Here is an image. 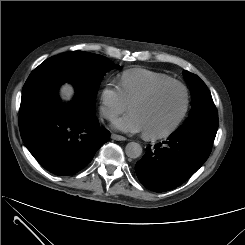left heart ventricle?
<instances>
[{"label":"left heart ventricle","mask_w":245,"mask_h":245,"mask_svg":"<svg viewBox=\"0 0 245 245\" xmlns=\"http://www.w3.org/2000/svg\"><path fill=\"white\" fill-rule=\"evenodd\" d=\"M184 100V92L180 87L169 86L160 90L152 99L133 105L130 112L138 116L144 132L159 133L177 120Z\"/></svg>","instance_id":"left-heart-ventricle-1"}]
</instances>
